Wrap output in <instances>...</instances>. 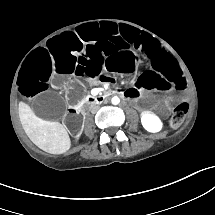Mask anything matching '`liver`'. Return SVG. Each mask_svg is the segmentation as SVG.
<instances>
[{
    "instance_id": "6515ba94",
    "label": "liver",
    "mask_w": 215,
    "mask_h": 215,
    "mask_svg": "<svg viewBox=\"0 0 215 215\" xmlns=\"http://www.w3.org/2000/svg\"><path fill=\"white\" fill-rule=\"evenodd\" d=\"M18 112L25 133L39 148L54 154L69 149L70 138L62 124L40 119L24 103L19 104Z\"/></svg>"
}]
</instances>
